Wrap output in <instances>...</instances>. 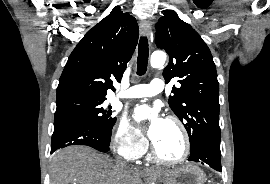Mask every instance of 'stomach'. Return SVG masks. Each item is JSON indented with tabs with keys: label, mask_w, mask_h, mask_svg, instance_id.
Segmentation results:
<instances>
[{
	"label": "stomach",
	"mask_w": 270,
	"mask_h": 184,
	"mask_svg": "<svg viewBox=\"0 0 270 184\" xmlns=\"http://www.w3.org/2000/svg\"><path fill=\"white\" fill-rule=\"evenodd\" d=\"M165 184H204L205 175L201 169L193 164H185L164 173Z\"/></svg>",
	"instance_id": "1"
}]
</instances>
